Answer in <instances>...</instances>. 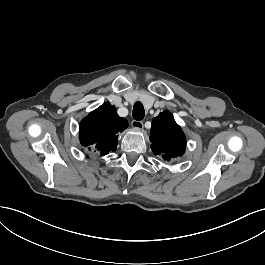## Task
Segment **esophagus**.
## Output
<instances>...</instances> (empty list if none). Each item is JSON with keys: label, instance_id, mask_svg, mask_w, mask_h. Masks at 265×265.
<instances>
[{"label": "esophagus", "instance_id": "34e87169", "mask_svg": "<svg viewBox=\"0 0 265 265\" xmlns=\"http://www.w3.org/2000/svg\"><path fill=\"white\" fill-rule=\"evenodd\" d=\"M132 127L136 130L142 131L143 130V122L138 121V120H133L132 121Z\"/></svg>", "mask_w": 265, "mask_h": 265}]
</instances>
